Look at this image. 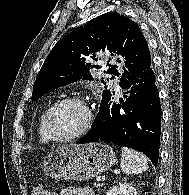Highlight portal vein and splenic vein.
Returning <instances> with one entry per match:
<instances>
[{"instance_id":"obj_1","label":"portal vein and splenic vein","mask_w":189,"mask_h":195,"mask_svg":"<svg viewBox=\"0 0 189 195\" xmlns=\"http://www.w3.org/2000/svg\"><path fill=\"white\" fill-rule=\"evenodd\" d=\"M96 181H97V182H101L102 179H101L100 177H98V178L96 179Z\"/></svg>"}]
</instances>
